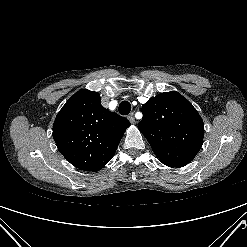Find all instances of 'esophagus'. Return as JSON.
<instances>
[{"instance_id":"esophagus-1","label":"esophagus","mask_w":247,"mask_h":247,"mask_svg":"<svg viewBox=\"0 0 247 247\" xmlns=\"http://www.w3.org/2000/svg\"><path fill=\"white\" fill-rule=\"evenodd\" d=\"M128 120L132 123V124H135V118H134V116H133V114H131V115H129L128 116Z\"/></svg>"}]
</instances>
